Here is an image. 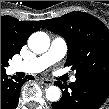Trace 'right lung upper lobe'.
<instances>
[{
    "label": "right lung upper lobe",
    "mask_w": 109,
    "mask_h": 109,
    "mask_svg": "<svg viewBox=\"0 0 109 109\" xmlns=\"http://www.w3.org/2000/svg\"><path fill=\"white\" fill-rule=\"evenodd\" d=\"M40 29L37 21H19L11 16H1V45L12 58L20 53L28 37Z\"/></svg>",
    "instance_id": "cb5924a9"
}]
</instances>
